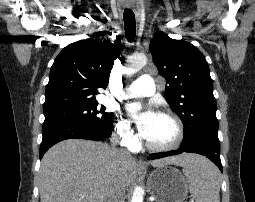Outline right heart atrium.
Masks as SVG:
<instances>
[{"label":"right heart atrium","mask_w":255,"mask_h":202,"mask_svg":"<svg viewBox=\"0 0 255 202\" xmlns=\"http://www.w3.org/2000/svg\"><path fill=\"white\" fill-rule=\"evenodd\" d=\"M115 135L126 147H133L137 142V136L130 123L122 117H119L116 122Z\"/></svg>","instance_id":"d8ad5b80"}]
</instances>
